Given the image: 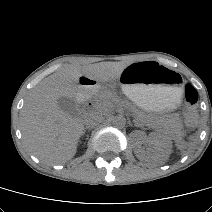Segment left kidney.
<instances>
[{"instance_id":"left-kidney-1","label":"left kidney","mask_w":212,"mask_h":212,"mask_svg":"<svg viewBox=\"0 0 212 212\" xmlns=\"http://www.w3.org/2000/svg\"><path fill=\"white\" fill-rule=\"evenodd\" d=\"M134 134L138 138L135 148V154L140 159H145L152 156L160 161H166L171 153L172 142L168 137H165L157 132H152L147 136L143 131H135ZM143 143L153 146V153H148L142 147Z\"/></svg>"}]
</instances>
